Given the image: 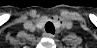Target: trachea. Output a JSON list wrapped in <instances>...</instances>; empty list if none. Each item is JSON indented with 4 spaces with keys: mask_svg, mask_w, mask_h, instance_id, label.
Wrapping results in <instances>:
<instances>
[{
    "mask_svg": "<svg viewBox=\"0 0 97 48\" xmlns=\"http://www.w3.org/2000/svg\"><path fill=\"white\" fill-rule=\"evenodd\" d=\"M45 30H46V32H48V33H52V34L55 33V27H54V25H53L51 22H47V23L45 24Z\"/></svg>",
    "mask_w": 97,
    "mask_h": 48,
    "instance_id": "3493384b",
    "label": "trachea"
}]
</instances>
